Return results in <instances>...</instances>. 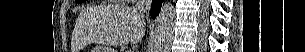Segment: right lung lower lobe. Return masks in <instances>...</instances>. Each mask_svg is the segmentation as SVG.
Returning <instances> with one entry per match:
<instances>
[{
	"label": "right lung lower lobe",
	"instance_id": "1",
	"mask_svg": "<svg viewBox=\"0 0 305 52\" xmlns=\"http://www.w3.org/2000/svg\"><path fill=\"white\" fill-rule=\"evenodd\" d=\"M163 0H153L152 1V9H151V16L155 18V16L158 15L160 9H161V4Z\"/></svg>",
	"mask_w": 305,
	"mask_h": 52
}]
</instances>
